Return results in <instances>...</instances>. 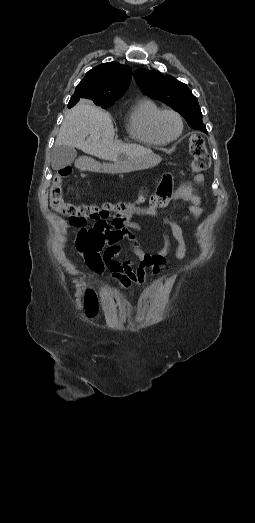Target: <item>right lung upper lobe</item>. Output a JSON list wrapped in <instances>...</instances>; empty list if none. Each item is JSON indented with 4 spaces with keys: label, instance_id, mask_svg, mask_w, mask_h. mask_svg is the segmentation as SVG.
I'll return each mask as SVG.
<instances>
[{
    "label": "right lung upper lobe",
    "instance_id": "right-lung-upper-lobe-1",
    "mask_svg": "<svg viewBox=\"0 0 255 523\" xmlns=\"http://www.w3.org/2000/svg\"><path fill=\"white\" fill-rule=\"evenodd\" d=\"M132 77V70L127 65L108 62L88 71L77 85L68 107H73L79 100L83 102H115L127 91Z\"/></svg>",
    "mask_w": 255,
    "mask_h": 523
}]
</instances>
